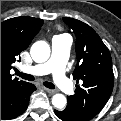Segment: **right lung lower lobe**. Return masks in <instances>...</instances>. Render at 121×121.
I'll return each mask as SVG.
<instances>
[{
  "label": "right lung lower lobe",
  "instance_id": "obj_1",
  "mask_svg": "<svg viewBox=\"0 0 121 121\" xmlns=\"http://www.w3.org/2000/svg\"><path fill=\"white\" fill-rule=\"evenodd\" d=\"M35 90L33 84L25 83L7 92L1 98V119H13L22 114L27 109L30 95Z\"/></svg>",
  "mask_w": 121,
  "mask_h": 121
}]
</instances>
